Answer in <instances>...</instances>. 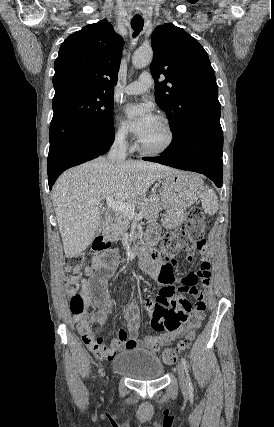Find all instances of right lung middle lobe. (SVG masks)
I'll return each instance as SVG.
<instances>
[{
  "mask_svg": "<svg viewBox=\"0 0 274 427\" xmlns=\"http://www.w3.org/2000/svg\"><path fill=\"white\" fill-rule=\"evenodd\" d=\"M114 101L111 94H67L53 102L50 143L63 132L113 125Z\"/></svg>",
  "mask_w": 274,
  "mask_h": 427,
  "instance_id": "dd1d6c3e",
  "label": "right lung middle lobe"
}]
</instances>
